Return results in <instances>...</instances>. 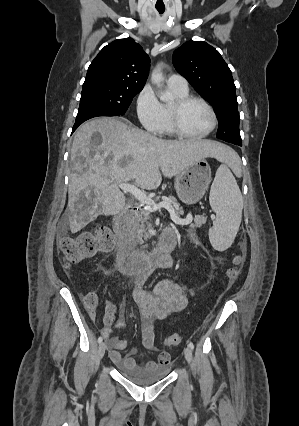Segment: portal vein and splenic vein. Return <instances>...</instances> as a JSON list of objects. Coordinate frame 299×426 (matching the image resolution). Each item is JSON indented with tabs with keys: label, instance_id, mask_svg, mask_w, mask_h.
I'll return each mask as SVG.
<instances>
[{
	"label": "portal vein and splenic vein",
	"instance_id": "portal-vein-and-splenic-vein-1",
	"mask_svg": "<svg viewBox=\"0 0 299 426\" xmlns=\"http://www.w3.org/2000/svg\"><path fill=\"white\" fill-rule=\"evenodd\" d=\"M118 187L124 192L131 193L136 199H138L140 201V203L142 205H145L146 209H148L150 211H157V210H160L161 208H165L166 210L169 211L170 216H171V220L175 224L187 225V224H190L192 222L193 217H192L191 213H189L185 219L179 218L175 214V211H174L173 207L171 206L170 202L163 201V202L156 204L152 200V198L148 197L143 191L138 189L134 184L120 183V184H118Z\"/></svg>",
	"mask_w": 299,
	"mask_h": 426
}]
</instances>
